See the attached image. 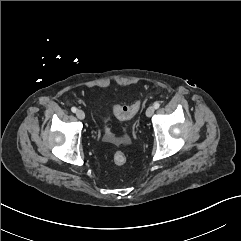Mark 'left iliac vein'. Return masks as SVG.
Here are the masks:
<instances>
[{
	"mask_svg": "<svg viewBox=\"0 0 241 241\" xmlns=\"http://www.w3.org/2000/svg\"><path fill=\"white\" fill-rule=\"evenodd\" d=\"M155 112V108L153 106H149L146 110V116L151 117Z\"/></svg>",
	"mask_w": 241,
	"mask_h": 241,
	"instance_id": "obj_1",
	"label": "left iliac vein"
}]
</instances>
